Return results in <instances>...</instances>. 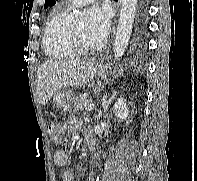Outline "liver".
I'll return each mask as SVG.
<instances>
[{
	"label": "liver",
	"instance_id": "liver-1",
	"mask_svg": "<svg viewBox=\"0 0 197 181\" xmlns=\"http://www.w3.org/2000/svg\"><path fill=\"white\" fill-rule=\"evenodd\" d=\"M97 72L94 63L68 59L47 61L40 66L36 78V94L45 105L59 90L68 86H82L93 79Z\"/></svg>",
	"mask_w": 197,
	"mask_h": 181
}]
</instances>
